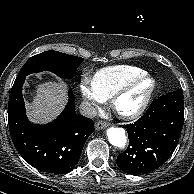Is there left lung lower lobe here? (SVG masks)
Instances as JSON below:
<instances>
[{"instance_id":"0a47b994","label":"left lung lower lobe","mask_w":194,"mask_h":194,"mask_svg":"<svg viewBox=\"0 0 194 194\" xmlns=\"http://www.w3.org/2000/svg\"><path fill=\"white\" fill-rule=\"evenodd\" d=\"M184 124L181 89L154 100L147 112L134 124L124 126L128 148L118 155L117 165L125 173L139 175L162 166L175 150Z\"/></svg>"}]
</instances>
